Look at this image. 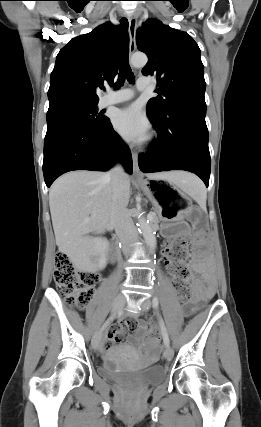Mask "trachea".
<instances>
[{
    "instance_id": "1",
    "label": "trachea",
    "mask_w": 261,
    "mask_h": 427,
    "mask_svg": "<svg viewBox=\"0 0 261 427\" xmlns=\"http://www.w3.org/2000/svg\"><path fill=\"white\" fill-rule=\"evenodd\" d=\"M127 21L125 18L121 20V23L124 24V22ZM125 79H127L130 83H132L135 79L133 72L129 65L128 60V52L126 51L122 57L120 68H119V75L118 80L115 83V88L119 89L125 82Z\"/></svg>"
}]
</instances>
